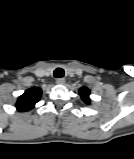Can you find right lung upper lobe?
<instances>
[{
  "label": "right lung upper lobe",
  "mask_w": 134,
  "mask_h": 159,
  "mask_svg": "<svg viewBox=\"0 0 134 159\" xmlns=\"http://www.w3.org/2000/svg\"><path fill=\"white\" fill-rule=\"evenodd\" d=\"M40 88H31L25 91L21 95L17 102V107L20 111H27L33 108V106L39 101L41 96Z\"/></svg>",
  "instance_id": "cb5924a9"
}]
</instances>
